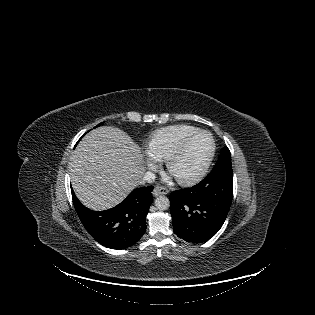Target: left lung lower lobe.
Segmentation results:
<instances>
[{"label": "left lung lower lobe", "mask_w": 315, "mask_h": 315, "mask_svg": "<svg viewBox=\"0 0 315 315\" xmlns=\"http://www.w3.org/2000/svg\"><path fill=\"white\" fill-rule=\"evenodd\" d=\"M233 197V177H207L191 188L174 191L170 209L174 233L188 242L202 243L222 227Z\"/></svg>", "instance_id": "0a47b994"}]
</instances>
